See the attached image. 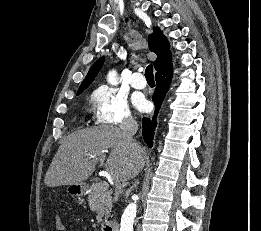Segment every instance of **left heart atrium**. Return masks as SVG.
<instances>
[{
  "instance_id": "1",
  "label": "left heart atrium",
  "mask_w": 261,
  "mask_h": 231,
  "mask_svg": "<svg viewBox=\"0 0 261 231\" xmlns=\"http://www.w3.org/2000/svg\"><path fill=\"white\" fill-rule=\"evenodd\" d=\"M132 102L139 111H145L148 109V101L140 94H134L132 97Z\"/></svg>"
}]
</instances>
